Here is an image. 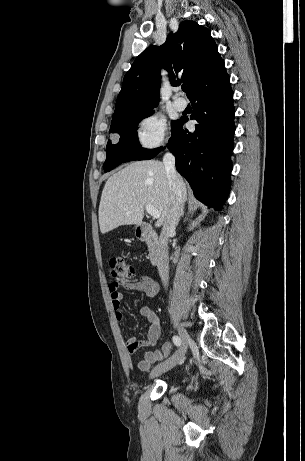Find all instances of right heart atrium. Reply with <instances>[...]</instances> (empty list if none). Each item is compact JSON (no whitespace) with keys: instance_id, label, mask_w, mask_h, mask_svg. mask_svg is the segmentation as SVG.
<instances>
[{"instance_id":"right-heart-atrium-1","label":"right heart atrium","mask_w":305,"mask_h":461,"mask_svg":"<svg viewBox=\"0 0 305 461\" xmlns=\"http://www.w3.org/2000/svg\"><path fill=\"white\" fill-rule=\"evenodd\" d=\"M167 123L165 119L149 114L139 120L135 129V138L139 147L153 150L161 147L166 141Z\"/></svg>"}]
</instances>
